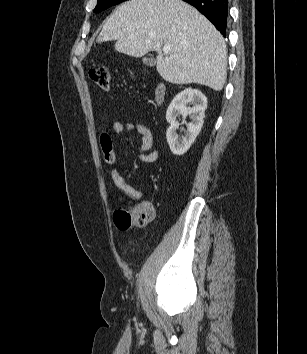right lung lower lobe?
<instances>
[{"mask_svg": "<svg viewBox=\"0 0 307 354\" xmlns=\"http://www.w3.org/2000/svg\"><path fill=\"white\" fill-rule=\"evenodd\" d=\"M198 9L226 37L228 23V0H183Z\"/></svg>", "mask_w": 307, "mask_h": 354, "instance_id": "1", "label": "right lung lower lobe"}]
</instances>
